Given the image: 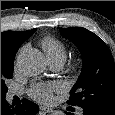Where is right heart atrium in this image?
Segmentation results:
<instances>
[{"label":"right heart atrium","instance_id":"obj_1","mask_svg":"<svg viewBox=\"0 0 115 115\" xmlns=\"http://www.w3.org/2000/svg\"><path fill=\"white\" fill-rule=\"evenodd\" d=\"M26 49V46L23 47V50Z\"/></svg>","mask_w":115,"mask_h":115}]
</instances>
